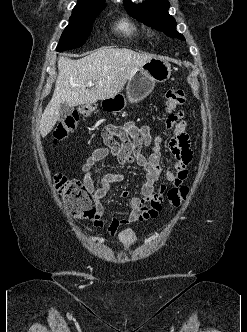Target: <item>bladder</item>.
<instances>
[{"instance_id":"obj_1","label":"bladder","mask_w":247,"mask_h":332,"mask_svg":"<svg viewBox=\"0 0 247 332\" xmlns=\"http://www.w3.org/2000/svg\"><path fill=\"white\" fill-rule=\"evenodd\" d=\"M134 240V237L133 236H128L127 238H126V241H128V242H132Z\"/></svg>"}]
</instances>
